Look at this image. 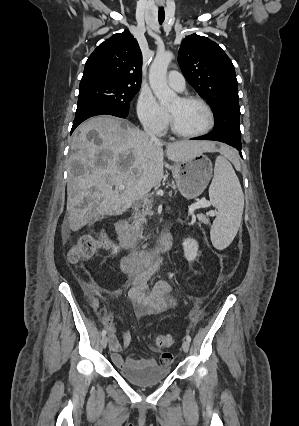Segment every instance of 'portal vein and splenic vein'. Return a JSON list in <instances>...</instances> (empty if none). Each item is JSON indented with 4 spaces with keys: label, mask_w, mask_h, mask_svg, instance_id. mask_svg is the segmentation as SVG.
<instances>
[{
    "label": "portal vein and splenic vein",
    "mask_w": 299,
    "mask_h": 426,
    "mask_svg": "<svg viewBox=\"0 0 299 426\" xmlns=\"http://www.w3.org/2000/svg\"><path fill=\"white\" fill-rule=\"evenodd\" d=\"M117 188L119 190H124L125 186L122 184H119L117 185ZM147 201H148L147 199L144 200V202H147ZM210 205L211 203L205 199L198 200L197 202L191 204V206L189 207V213L192 215L196 209L209 207Z\"/></svg>",
    "instance_id": "portal-vein-and-splenic-vein-1"
}]
</instances>
